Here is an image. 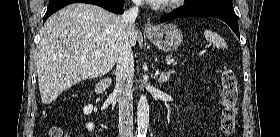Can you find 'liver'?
<instances>
[{
	"instance_id": "1",
	"label": "liver",
	"mask_w": 280,
	"mask_h": 137,
	"mask_svg": "<svg viewBox=\"0 0 280 137\" xmlns=\"http://www.w3.org/2000/svg\"><path fill=\"white\" fill-rule=\"evenodd\" d=\"M120 16L84 3L68 5L44 24L36 68L42 103L50 104L78 82L115 65L122 41ZM137 32L131 35L136 45Z\"/></svg>"
}]
</instances>
